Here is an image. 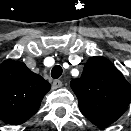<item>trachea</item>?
Returning <instances> with one entry per match:
<instances>
[{
  "instance_id": "trachea-1",
  "label": "trachea",
  "mask_w": 131,
  "mask_h": 131,
  "mask_svg": "<svg viewBox=\"0 0 131 131\" xmlns=\"http://www.w3.org/2000/svg\"><path fill=\"white\" fill-rule=\"evenodd\" d=\"M62 75V68L59 65H56L52 68L51 77L54 79L59 78Z\"/></svg>"
}]
</instances>
